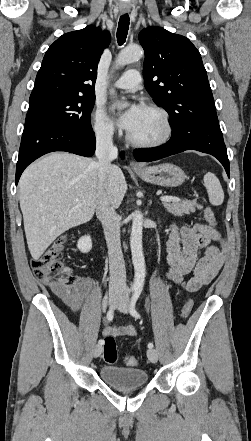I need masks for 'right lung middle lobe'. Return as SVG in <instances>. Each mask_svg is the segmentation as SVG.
I'll return each instance as SVG.
<instances>
[{
    "instance_id": "1",
    "label": "right lung middle lobe",
    "mask_w": 251,
    "mask_h": 441,
    "mask_svg": "<svg viewBox=\"0 0 251 441\" xmlns=\"http://www.w3.org/2000/svg\"><path fill=\"white\" fill-rule=\"evenodd\" d=\"M95 96H54L30 101L26 116H37L76 132L92 130L90 114Z\"/></svg>"
}]
</instances>
